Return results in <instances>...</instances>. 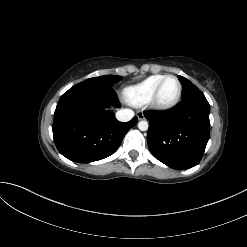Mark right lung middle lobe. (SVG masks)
<instances>
[{
	"label": "right lung middle lobe",
	"instance_id": "obj_1",
	"mask_svg": "<svg viewBox=\"0 0 247 247\" xmlns=\"http://www.w3.org/2000/svg\"><path fill=\"white\" fill-rule=\"evenodd\" d=\"M121 79V76L116 75H105L100 77L89 78L81 83H93V84H106L112 85L115 82H118Z\"/></svg>",
	"mask_w": 247,
	"mask_h": 247
}]
</instances>
